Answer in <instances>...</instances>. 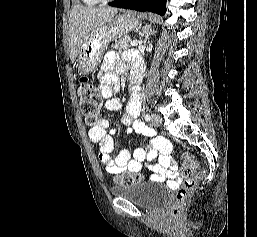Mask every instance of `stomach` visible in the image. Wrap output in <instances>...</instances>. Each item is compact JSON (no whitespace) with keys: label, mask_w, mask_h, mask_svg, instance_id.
Listing matches in <instances>:
<instances>
[{"label":"stomach","mask_w":257,"mask_h":237,"mask_svg":"<svg viewBox=\"0 0 257 237\" xmlns=\"http://www.w3.org/2000/svg\"><path fill=\"white\" fill-rule=\"evenodd\" d=\"M139 20L132 12H116L108 21L95 27L83 41L78 54V71L80 74L91 73L101 62L108 44L126 36L136 29Z\"/></svg>","instance_id":"stomach-1"}]
</instances>
